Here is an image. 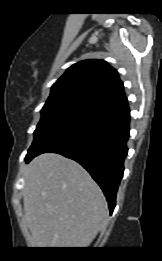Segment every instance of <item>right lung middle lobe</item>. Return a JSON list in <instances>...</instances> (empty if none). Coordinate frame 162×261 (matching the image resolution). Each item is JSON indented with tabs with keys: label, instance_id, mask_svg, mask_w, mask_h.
I'll list each match as a JSON object with an SVG mask.
<instances>
[{
	"label": "right lung middle lobe",
	"instance_id": "obj_1",
	"mask_svg": "<svg viewBox=\"0 0 162 261\" xmlns=\"http://www.w3.org/2000/svg\"><path fill=\"white\" fill-rule=\"evenodd\" d=\"M102 105L100 101L79 92L50 95L41 110L42 117L34 132V141L28 154L62 126Z\"/></svg>",
	"mask_w": 162,
	"mask_h": 261
}]
</instances>
